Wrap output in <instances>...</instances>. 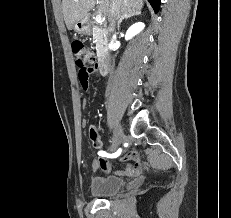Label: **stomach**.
<instances>
[{"label": "stomach", "instance_id": "stomach-1", "mask_svg": "<svg viewBox=\"0 0 231 218\" xmlns=\"http://www.w3.org/2000/svg\"><path fill=\"white\" fill-rule=\"evenodd\" d=\"M73 29L78 34H85L88 31L87 21L85 19L76 22L73 25Z\"/></svg>", "mask_w": 231, "mask_h": 218}]
</instances>
